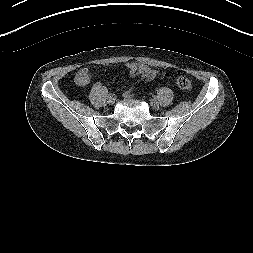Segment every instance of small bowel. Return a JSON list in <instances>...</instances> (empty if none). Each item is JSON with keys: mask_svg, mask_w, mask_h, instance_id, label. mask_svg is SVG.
<instances>
[{"mask_svg": "<svg viewBox=\"0 0 253 253\" xmlns=\"http://www.w3.org/2000/svg\"><path fill=\"white\" fill-rule=\"evenodd\" d=\"M131 76H142L147 79H152L157 75V71L150 68L149 66L138 64L135 62H129L126 64ZM76 83L79 86H86L91 80V71L89 68H82L76 74Z\"/></svg>", "mask_w": 253, "mask_h": 253, "instance_id": "obj_1", "label": "small bowel"}]
</instances>
